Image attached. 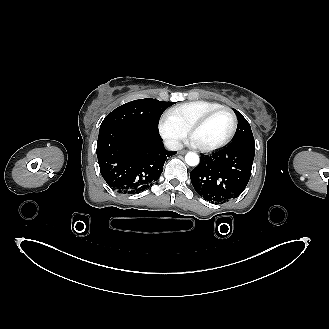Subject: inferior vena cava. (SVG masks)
I'll list each match as a JSON object with an SVG mask.
<instances>
[{
    "label": "inferior vena cava",
    "mask_w": 329,
    "mask_h": 329,
    "mask_svg": "<svg viewBox=\"0 0 329 329\" xmlns=\"http://www.w3.org/2000/svg\"><path fill=\"white\" fill-rule=\"evenodd\" d=\"M164 145L170 151H177V150H181L183 148L182 143H180L177 140H173V139L166 140L164 142Z\"/></svg>",
    "instance_id": "1"
}]
</instances>
